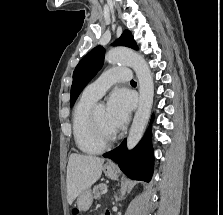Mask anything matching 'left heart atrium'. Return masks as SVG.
I'll list each match as a JSON object with an SVG mask.
<instances>
[{"label":"left heart atrium","instance_id":"1","mask_svg":"<svg viewBox=\"0 0 223 215\" xmlns=\"http://www.w3.org/2000/svg\"><path fill=\"white\" fill-rule=\"evenodd\" d=\"M132 106L133 100L126 90H116L109 96L106 116L112 127L117 130L127 123Z\"/></svg>","mask_w":223,"mask_h":215}]
</instances>
